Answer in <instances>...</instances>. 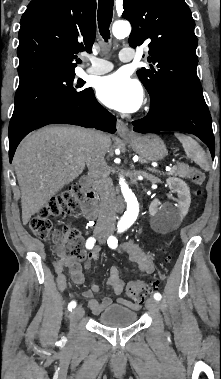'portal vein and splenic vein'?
Here are the masks:
<instances>
[{"mask_svg":"<svg viewBox=\"0 0 221 379\" xmlns=\"http://www.w3.org/2000/svg\"><path fill=\"white\" fill-rule=\"evenodd\" d=\"M172 169H173V168H172ZM149 170L152 171V172H155V173L159 172L158 170H156V169H154V168H151V169H149ZM166 171H168V172L172 171V170H171V167L167 166V167H166Z\"/></svg>","mask_w":221,"mask_h":379,"instance_id":"18ae733b","label":"portal vein and splenic vein"}]
</instances>
